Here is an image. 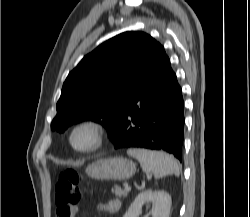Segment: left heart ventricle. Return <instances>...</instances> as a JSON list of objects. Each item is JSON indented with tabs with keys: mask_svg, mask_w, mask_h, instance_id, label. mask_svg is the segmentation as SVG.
I'll list each match as a JSON object with an SVG mask.
<instances>
[{
	"mask_svg": "<svg viewBox=\"0 0 250 217\" xmlns=\"http://www.w3.org/2000/svg\"><path fill=\"white\" fill-rule=\"evenodd\" d=\"M74 142L79 147L85 146L89 143V135L86 132H79L75 136Z\"/></svg>",
	"mask_w": 250,
	"mask_h": 217,
	"instance_id": "b2bd125f",
	"label": "left heart ventricle"
}]
</instances>
